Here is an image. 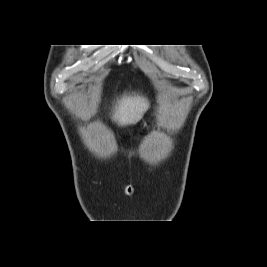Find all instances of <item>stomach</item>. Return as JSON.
I'll return each mask as SVG.
<instances>
[{
    "mask_svg": "<svg viewBox=\"0 0 267 267\" xmlns=\"http://www.w3.org/2000/svg\"><path fill=\"white\" fill-rule=\"evenodd\" d=\"M143 125L146 126V123L144 122Z\"/></svg>",
    "mask_w": 267,
    "mask_h": 267,
    "instance_id": "obj_1",
    "label": "stomach"
}]
</instances>
